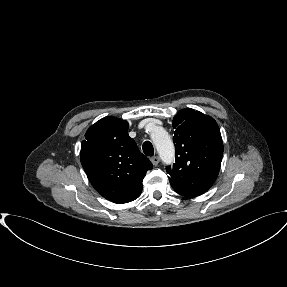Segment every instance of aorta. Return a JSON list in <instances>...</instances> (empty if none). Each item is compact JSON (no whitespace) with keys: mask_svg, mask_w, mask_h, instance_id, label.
Instances as JSON below:
<instances>
[{"mask_svg":"<svg viewBox=\"0 0 287 287\" xmlns=\"http://www.w3.org/2000/svg\"><path fill=\"white\" fill-rule=\"evenodd\" d=\"M151 139L161 160L171 164L175 159V149L168 132L161 126H154L151 130Z\"/></svg>","mask_w":287,"mask_h":287,"instance_id":"1","label":"aorta"}]
</instances>
